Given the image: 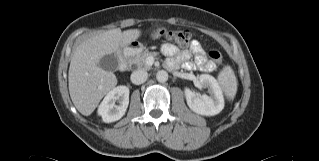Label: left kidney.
Masks as SVG:
<instances>
[{
    "mask_svg": "<svg viewBox=\"0 0 319 161\" xmlns=\"http://www.w3.org/2000/svg\"><path fill=\"white\" fill-rule=\"evenodd\" d=\"M201 87H208L210 96H199L190 89H185V97L189 108L200 115L214 116L224 108V98L222 90L216 79L208 74H202L199 77Z\"/></svg>",
    "mask_w": 319,
    "mask_h": 161,
    "instance_id": "1",
    "label": "left kidney"
}]
</instances>
